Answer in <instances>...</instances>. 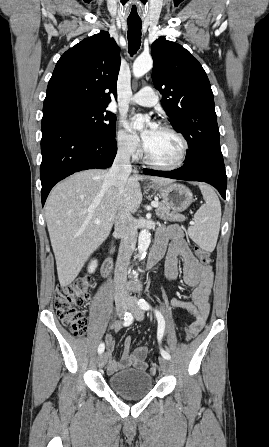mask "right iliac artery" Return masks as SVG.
<instances>
[{
    "mask_svg": "<svg viewBox=\"0 0 269 447\" xmlns=\"http://www.w3.org/2000/svg\"><path fill=\"white\" fill-rule=\"evenodd\" d=\"M133 322V316L130 312H126L124 315V326H128ZM105 349L104 343H101L98 347V353L101 354Z\"/></svg>",
    "mask_w": 269,
    "mask_h": 447,
    "instance_id": "obj_1",
    "label": "right iliac artery"
}]
</instances>
